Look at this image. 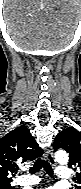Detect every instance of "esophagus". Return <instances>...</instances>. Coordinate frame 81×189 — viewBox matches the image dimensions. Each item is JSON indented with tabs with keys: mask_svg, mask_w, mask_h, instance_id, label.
<instances>
[{
	"mask_svg": "<svg viewBox=\"0 0 81 189\" xmlns=\"http://www.w3.org/2000/svg\"><path fill=\"white\" fill-rule=\"evenodd\" d=\"M45 157L47 158L48 162L51 165H53V166L55 165V160H54L53 153H52L51 149L46 150Z\"/></svg>",
	"mask_w": 81,
	"mask_h": 189,
	"instance_id": "obj_1",
	"label": "esophagus"
}]
</instances>
